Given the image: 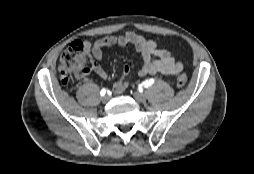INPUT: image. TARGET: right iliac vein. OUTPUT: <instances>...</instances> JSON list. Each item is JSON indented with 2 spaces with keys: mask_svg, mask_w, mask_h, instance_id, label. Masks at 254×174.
<instances>
[{
  "mask_svg": "<svg viewBox=\"0 0 254 174\" xmlns=\"http://www.w3.org/2000/svg\"><path fill=\"white\" fill-rule=\"evenodd\" d=\"M102 103H104V104H106V103H108L109 102V100H110V96H108V95H106V96H104V97H102Z\"/></svg>",
  "mask_w": 254,
  "mask_h": 174,
  "instance_id": "obj_1",
  "label": "right iliac vein"
}]
</instances>
